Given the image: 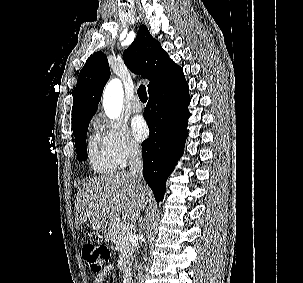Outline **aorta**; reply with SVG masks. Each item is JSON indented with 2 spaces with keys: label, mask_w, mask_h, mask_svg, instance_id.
<instances>
[{
  "label": "aorta",
  "mask_w": 303,
  "mask_h": 283,
  "mask_svg": "<svg viewBox=\"0 0 303 283\" xmlns=\"http://www.w3.org/2000/svg\"><path fill=\"white\" fill-rule=\"evenodd\" d=\"M123 87L119 79L111 80L103 93V107L110 119L120 116L123 107Z\"/></svg>",
  "instance_id": "762f6f07"
}]
</instances>
